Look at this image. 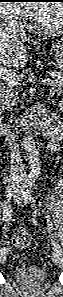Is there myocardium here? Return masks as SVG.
I'll return each mask as SVG.
<instances>
[{
  "label": "myocardium",
  "mask_w": 63,
  "mask_h": 297,
  "mask_svg": "<svg viewBox=\"0 0 63 297\" xmlns=\"http://www.w3.org/2000/svg\"><path fill=\"white\" fill-rule=\"evenodd\" d=\"M61 9V15H62V7L60 6ZM35 27L37 28V30H39L40 32H43L45 34H60L62 32V19H61V23L59 26L57 27H53V26H47L45 24H37L34 23Z\"/></svg>",
  "instance_id": "obj_1"
}]
</instances>
